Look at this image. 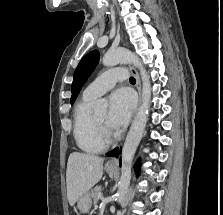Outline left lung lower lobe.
<instances>
[{
  "label": "left lung lower lobe",
  "instance_id": "1",
  "mask_svg": "<svg viewBox=\"0 0 223 215\" xmlns=\"http://www.w3.org/2000/svg\"><path fill=\"white\" fill-rule=\"evenodd\" d=\"M118 154H119V148H115L114 150L108 152L106 155L110 156V157H112V156H116L117 157Z\"/></svg>",
  "mask_w": 223,
  "mask_h": 215
}]
</instances>
